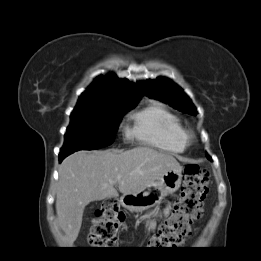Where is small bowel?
Instances as JSON below:
<instances>
[{
	"label": "small bowel",
	"instance_id": "obj_1",
	"mask_svg": "<svg viewBox=\"0 0 261 261\" xmlns=\"http://www.w3.org/2000/svg\"><path fill=\"white\" fill-rule=\"evenodd\" d=\"M170 212V207L166 206L164 209L160 210V211H154L150 214V219H149V225L151 228H153L155 226V222L157 219L159 218H163L168 216Z\"/></svg>",
	"mask_w": 261,
	"mask_h": 261
}]
</instances>
